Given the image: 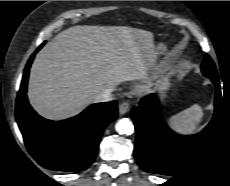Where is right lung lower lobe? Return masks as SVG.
Returning a JSON list of instances; mask_svg holds the SVG:
<instances>
[{
	"label": "right lung lower lobe",
	"mask_w": 230,
	"mask_h": 186,
	"mask_svg": "<svg viewBox=\"0 0 230 186\" xmlns=\"http://www.w3.org/2000/svg\"><path fill=\"white\" fill-rule=\"evenodd\" d=\"M34 56L35 53L28 60L16 100V120L25 145L44 168L83 171L94 162L105 127L117 118V102L93 104L64 121L42 118L32 109L26 96Z\"/></svg>",
	"instance_id": "obj_1"
}]
</instances>
